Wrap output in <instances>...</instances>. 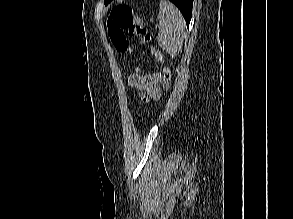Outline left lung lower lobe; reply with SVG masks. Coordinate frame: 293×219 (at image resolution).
<instances>
[{
    "mask_svg": "<svg viewBox=\"0 0 293 219\" xmlns=\"http://www.w3.org/2000/svg\"><path fill=\"white\" fill-rule=\"evenodd\" d=\"M170 1L179 8L188 26L192 17L193 0H170Z\"/></svg>",
    "mask_w": 293,
    "mask_h": 219,
    "instance_id": "left-lung-lower-lobe-1",
    "label": "left lung lower lobe"
}]
</instances>
